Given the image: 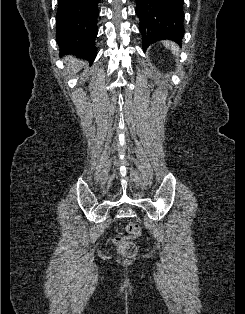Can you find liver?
Returning a JSON list of instances; mask_svg holds the SVG:
<instances>
[{
  "instance_id": "6515ba94",
  "label": "liver",
  "mask_w": 245,
  "mask_h": 314,
  "mask_svg": "<svg viewBox=\"0 0 245 314\" xmlns=\"http://www.w3.org/2000/svg\"><path fill=\"white\" fill-rule=\"evenodd\" d=\"M65 63L67 65V70L71 73V75L76 74L77 72L80 71V69L83 67L84 62L76 59L72 56H66L64 58Z\"/></svg>"
}]
</instances>
